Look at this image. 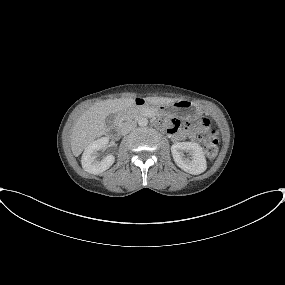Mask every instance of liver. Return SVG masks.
I'll list each match as a JSON object with an SVG mask.
<instances>
[{
  "label": "liver",
  "instance_id": "6515ba94",
  "mask_svg": "<svg viewBox=\"0 0 285 285\" xmlns=\"http://www.w3.org/2000/svg\"><path fill=\"white\" fill-rule=\"evenodd\" d=\"M146 100L154 105H170L179 99L149 97ZM134 102L132 98L108 99L97 102L86 110L72 129L70 143L74 156H79L90 143L105 134V119L109 114L125 111Z\"/></svg>",
  "mask_w": 285,
  "mask_h": 285
}]
</instances>
